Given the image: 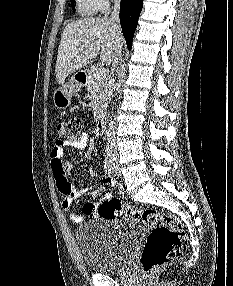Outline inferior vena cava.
<instances>
[{
    "label": "inferior vena cava",
    "instance_id": "inferior-vena-cava-1",
    "mask_svg": "<svg viewBox=\"0 0 233 286\" xmlns=\"http://www.w3.org/2000/svg\"><path fill=\"white\" fill-rule=\"evenodd\" d=\"M119 10H120V0H114V8H113V12L111 14V21L115 22L117 25H119ZM122 50V46L119 45L118 46V50H117V56L114 59V63H113V69H112V74L115 71L116 66L119 64L120 61V57H121V51ZM112 86V85H111ZM113 129V123H109V132H111L110 130ZM111 135V133H110ZM112 146V143H111Z\"/></svg>",
    "mask_w": 233,
    "mask_h": 286
}]
</instances>
